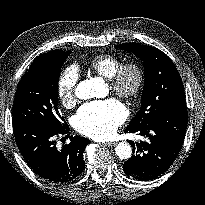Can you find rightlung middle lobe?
<instances>
[{"mask_svg": "<svg viewBox=\"0 0 205 205\" xmlns=\"http://www.w3.org/2000/svg\"><path fill=\"white\" fill-rule=\"evenodd\" d=\"M71 52L38 56L19 81L13 104V125L39 123L60 128L58 105L61 67Z\"/></svg>", "mask_w": 205, "mask_h": 205, "instance_id": "obj_1", "label": "right lung middle lobe"}]
</instances>
